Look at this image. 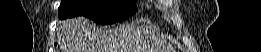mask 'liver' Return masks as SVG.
<instances>
[{
  "instance_id": "liver-1",
  "label": "liver",
  "mask_w": 261,
  "mask_h": 52,
  "mask_svg": "<svg viewBox=\"0 0 261 52\" xmlns=\"http://www.w3.org/2000/svg\"><path fill=\"white\" fill-rule=\"evenodd\" d=\"M64 42L70 52H113L117 31L93 29L85 17L69 19L63 23Z\"/></svg>"
}]
</instances>
